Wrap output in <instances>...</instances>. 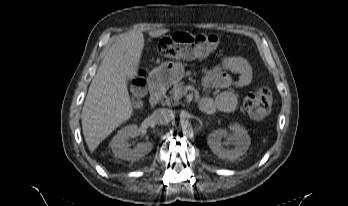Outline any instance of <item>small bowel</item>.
I'll return each instance as SVG.
<instances>
[{
	"label": "small bowel",
	"instance_id": "1",
	"mask_svg": "<svg viewBox=\"0 0 348 206\" xmlns=\"http://www.w3.org/2000/svg\"><path fill=\"white\" fill-rule=\"evenodd\" d=\"M202 86L205 95L200 107L203 112L211 114L216 108L224 111H233L238 103L236 94L230 90L234 87H244L252 80V68L249 62L241 56H224L210 68L203 70ZM232 75H236L233 78ZM211 89H221L215 99L206 95Z\"/></svg>",
	"mask_w": 348,
	"mask_h": 206
}]
</instances>
